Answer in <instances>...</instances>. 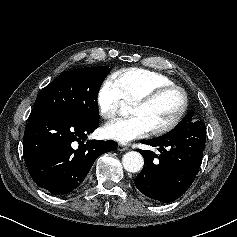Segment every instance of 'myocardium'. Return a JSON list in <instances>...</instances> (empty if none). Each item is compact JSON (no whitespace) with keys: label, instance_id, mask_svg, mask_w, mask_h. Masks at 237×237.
Masks as SVG:
<instances>
[{"label":"myocardium","instance_id":"myocardium-1","mask_svg":"<svg viewBox=\"0 0 237 237\" xmlns=\"http://www.w3.org/2000/svg\"><path fill=\"white\" fill-rule=\"evenodd\" d=\"M172 91H176L181 95L182 103H181L180 109H179L178 113L176 114V116L169 123L150 130V134L152 136H160L165 133H168V132L172 131L180 123V121L184 117V115L187 111V108H188V95H187L186 91L178 85L160 86V87H156V88L152 89L151 91H149L148 93L140 96L133 102V104H142V105L149 104V103H152L153 101H155L157 98H159L163 94H166V93L172 92Z\"/></svg>","mask_w":237,"mask_h":237}]
</instances>
